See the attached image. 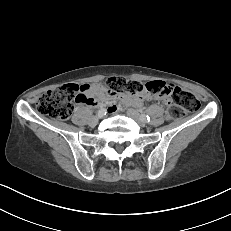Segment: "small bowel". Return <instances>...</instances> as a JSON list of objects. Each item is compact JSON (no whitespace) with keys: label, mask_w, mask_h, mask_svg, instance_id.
<instances>
[{"label":"small bowel","mask_w":231,"mask_h":231,"mask_svg":"<svg viewBox=\"0 0 231 231\" xmlns=\"http://www.w3.org/2000/svg\"><path fill=\"white\" fill-rule=\"evenodd\" d=\"M80 91L85 96V101L80 104H86L93 107L98 106L101 103H109L113 100L119 99L124 105H134L140 108L146 99H150L145 90L141 94L133 97H120L114 92L108 91L100 84H83L80 86ZM153 99L166 103L169 100V97L167 94H162L154 97ZM117 109L118 108L114 105L109 107V111L111 113L117 111Z\"/></svg>","instance_id":"1"}]
</instances>
